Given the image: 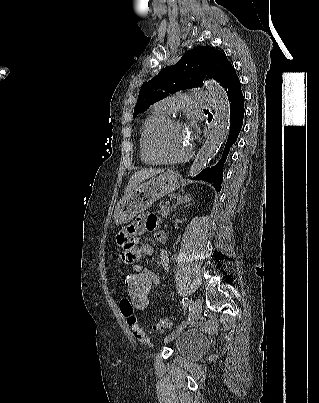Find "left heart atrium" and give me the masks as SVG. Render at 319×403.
Wrapping results in <instances>:
<instances>
[{
  "instance_id": "left-heart-atrium-1",
  "label": "left heart atrium",
  "mask_w": 319,
  "mask_h": 403,
  "mask_svg": "<svg viewBox=\"0 0 319 403\" xmlns=\"http://www.w3.org/2000/svg\"><path fill=\"white\" fill-rule=\"evenodd\" d=\"M187 136H188L189 141H191V139H192V135H191V132H190V131H188V130H187Z\"/></svg>"
}]
</instances>
